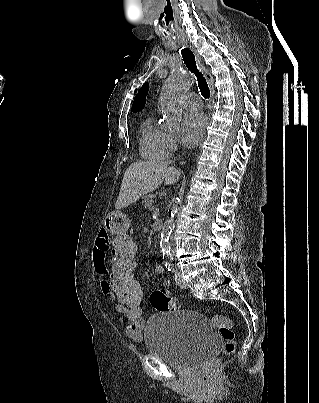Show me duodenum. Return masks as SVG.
Returning a JSON list of instances; mask_svg holds the SVG:
<instances>
[{"label": "duodenum", "instance_id": "duodenum-1", "mask_svg": "<svg viewBox=\"0 0 319 403\" xmlns=\"http://www.w3.org/2000/svg\"><path fill=\"white\" fill-rule=\"evenodd\" d=\"M153 230L155 232H161L163 230V222L161 220H155L153 223Z\"/></svg>", "mask_w": 319, "mask_h": 403}]
</instances>
